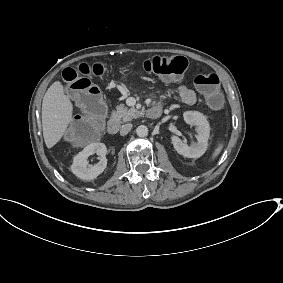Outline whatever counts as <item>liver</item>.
<instances>
[{
    "label": "liver",
    "mask_w": 283,
    "mask_h": 283,
    "mask_svg": "<svg viewBox=\"0 0 283 283\" xmlns=\"http://www.w3.org/2000/svg\"><path fill=\"white\" fill-rule=\"evenodd\" d=\"M73 106L59 81L46 91L42 102V128L47 148H52L64 135L72 120Z\"/></svg>",
    "instance_id": "6515ba94"
}]
</instances>
